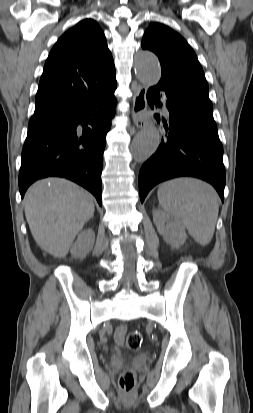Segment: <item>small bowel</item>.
Here are the masks:
<instances>
[{
	"mask_svg": "<svg viewBox=\"0 0 253 413\" xmlns=\"http://www.w3.org/2000/svg\"><path fill=\"white\" fill-rule=\"evenodd\" d=\"M125 334H126V327L124 326L118 327L114 333V339L116 343L122 344L124 341Z\"/></svg>",
	"mask_w": 253,
	"mask_h": 413,
	"instance_id": "obj_1",
	"label": "small bowel"
}]
</instances>
